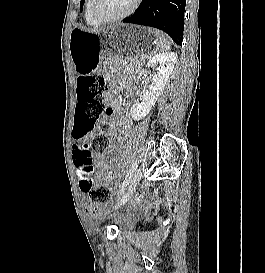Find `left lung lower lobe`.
Masks as SVG:
<instances>
[{"label":"left lung lower lobe","instance_id":"left-lung-lower-lobe-1","mask_svg":"<svg viewBox=\"0 0 265 273\" xmlns=\"http://www.w3.org/2000/svg\"><path fill=\"white\" fill-rule=\"evenodd\" d=\"M185 6L186 0H143L136 13L123 22L161 29L181 45Z\"/></svg>","mask_w":265,"mask_h":273}]
</instances>
